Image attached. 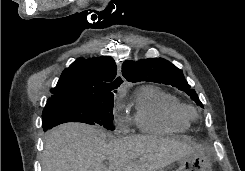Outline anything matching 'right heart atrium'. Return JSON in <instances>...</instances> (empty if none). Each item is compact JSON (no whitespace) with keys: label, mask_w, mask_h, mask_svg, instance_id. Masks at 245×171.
<instances>
[{"label":"right heart atrium","mask_w":245,"mask_h":171,"mask_svg":"<svg viewBox=\"0 0 245 171\" xmlns=\"http://www.w3.org/2000/svg\"><path fill=\"white\" fill-rule=\"evenodd\" d=\"M120 108L118 106H116L114 108V115H115V124L118 127V129L120 130H124L125 129V122L126 119L123 118L120 114H119Z\"/></svg>","instance_id":"obj_1"}]
</instances>
